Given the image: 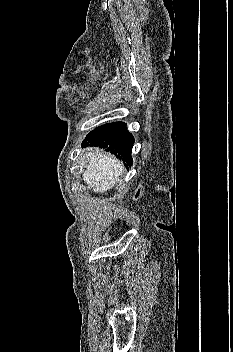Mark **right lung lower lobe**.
I'll use <instances>...</instances> for the list:
<instances>
[{
	"mask_svg": "<svg viewBox=\"0 0 233 352\" xmlns=\"http://www.w3.org/2000/svg\"><path fill=\"white\" fill-rule=\"evenodd\" d=\"M134 138L123 122L105 124L91 131L82 142V147L95 146L105 149L117 158L132 165Z\"/></svg>",
	"mask_w": 233,
	"mask_h": 352,
	"instance_id": "right-lung-lower-lobe-1",
	"label": "right lung lower lobe"
}]
</instances>
